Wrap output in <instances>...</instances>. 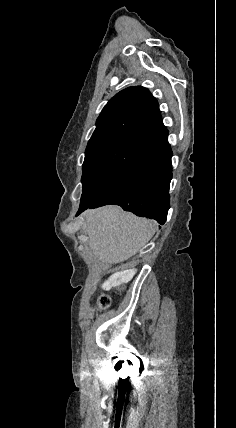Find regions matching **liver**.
Masks as SVG:
<instances>
[{"label": "liver", "instance_id": "obj_1", "mask_svg": "<svg viewBox=\"0 0 236 428\" xmlns=\"http://www.w3.org/2000/svg\"><path fill=\"white\" fill-rule=\"evenodd\" d=\"M83 230L94 256L105 264H120L142 250L156 230L154 220L137 218L120 206L84 212Z\"/></svg>", "mask_w": 236, "mask_h": 428}]
</instances>
